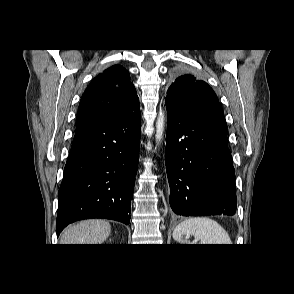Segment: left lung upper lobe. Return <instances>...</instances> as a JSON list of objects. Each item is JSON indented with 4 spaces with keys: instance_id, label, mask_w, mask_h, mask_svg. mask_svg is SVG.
<instances>
[{
    "instance_id": "obj_1",
    "label": "left lung upper lobe",
    "mask_w": 294,
    "mask_h": 294,
    "mask_svg": "<svg viewBox=\"0 0 294 294\" xmlns=\"http://www.w3.org/2000/svg\"><path fill=\"white\" fill-rule=\"evenodd\" d=\"M166 102L189 115H223L213 89L192 74L175 79L167 91Z\"/></svg>"
}]
</instances>
